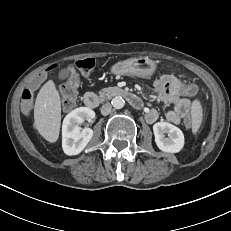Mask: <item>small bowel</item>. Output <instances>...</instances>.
<instances>
[{
  "label": "small bowel",
  "mask_w": 231,
  "mask_h": 231,
  "mask_svg": "<svg viewBox=\"0 0 231 231\" xmlns=\"http://www.w3.org/2000/svg\"><path fill=\"white\" fill-rule=\"evenodd\" d=\"M181 82L173 75H163L154 83V89L158 94L160 101L172 106L167 111L165 119L172 124H180L190 113L191 101L177 91V86ZM159 118L156 109H147L145 119L148 123H154Z\"/></svg>",
  "instance_id": "small-bowel-1"
}]
</instances>
